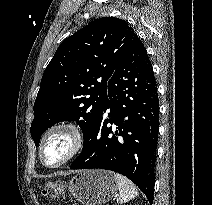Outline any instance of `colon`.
I'll return each instance as SVG.
<instances>
[{
    "label": "colon",
    "mask_w": 212,
    "mask_h": 205,
    "mask_svg": "<svg viewBox=\"0 0 212 205\" xmlns=\"http://www.w3.org/2000/svg\"><path fill=\"white\" fill-rule=\"evenodd\" d=\"M43 196L49 200H60L64 197L63 186L59 182H49L43 188Z\"/></svg>",
    "instance_id": "obj_1"
}]
</instances>
